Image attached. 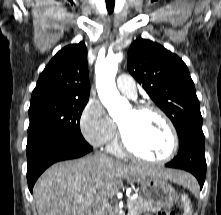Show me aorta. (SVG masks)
<instances>
[{
  "instance_id": "1",
  "label": "aorta",
  "mask_w": 221,
  "mask_h": 215,
  "mask_svg": "<svg viewBox=\"0 0 221 215\" xmlns=\"http://www.w3.org/2000/svg\"><path fill=\"white\" fill-rule=\"evenodd\" d=\"M123 54H108L103 60H98L95 66L96 88L102 104L109 114L114 116L120 107H128V101L121 97L115 84L118 64L122 61Z\"/></svg>"
}]
</instances>
